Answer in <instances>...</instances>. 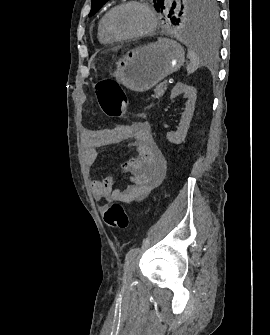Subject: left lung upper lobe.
<instances>
[{"label":"left lung upper lobe","instance_id":"obj_1","mask_svg":"<svg viewBox=\"0 0 270 335\" xmlns=\"http://www.w3.org/2000/svg\"><path fill=\"white\" fill-rule=\"evenodd\" d=\"M108 0H91L93 16ZM157 12L164 13L172 24L184 30L217 31L218 9L215 0H154Z\"/></svg>","mask_w":270,"mask_h":335}]
</instances>
